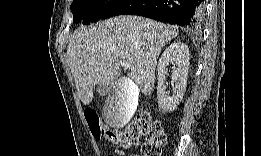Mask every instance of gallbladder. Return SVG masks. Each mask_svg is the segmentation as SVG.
<instances>
[{
  "instance_id": "gallbladder-1",
  "label": "gallbladder",
  "mask_w": 261,
  "mask_h": 156,
  "mask_svg": "<svg viewBox=\"0 0 261 156\" xmlns=\"http://www.w3.org/2000/svg\"><path fill=\"white\" fill-rule=\"evenodd\" d=\"M116 89L108 94L103 106V118L106 124L114 128L124 127L138 108L139 87L126 76L116 80Z\"/></svg>"
}]
</instances>
